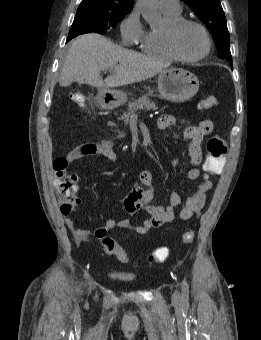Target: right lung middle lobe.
<instances>
[{
	"label": "right lung middle lobe",
	"mask_w": 261,
	"mask_h": 340,
	"mask_svg": "<svg viewBox=\"0 0 261 340\" xmlns=\"http://www.w3.org/2000/svg\"><path fill=\"white\" fill-rule=\"evenodd\" d=\"M126 14L128 12L117 8L80 5L69 36L90 32L104 34L109 28L115 27Z\"/></svg>",
	"instance_id": "dd1d6c3e"
}]
</instances>
